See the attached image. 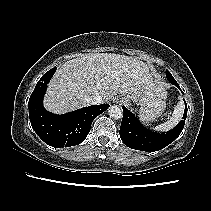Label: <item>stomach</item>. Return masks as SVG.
Instances as JSON below:
<instances>
[{"mask_svg": "<svg viewBox=\"0 0 211 211\" xmlns=\"http://www.w3.org/2000/svg\"><path fill=\"white\" fill-rule=\"evenodd\" d=\"M166 94L149 98L140 104L139 118L143 123H151L160 117L166 107ZM127 101L126 98H124Z\"/></svg>", "mask_w": 211, "mask_h": 211, "instance_id": "stomach-1", "label": "stomach"}]
</instances>
